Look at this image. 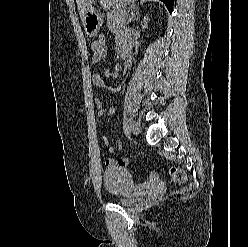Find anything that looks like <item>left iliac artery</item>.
I'll return each mask as SVG.
<instances>
[{"label":"left iliac artery","instance_id":"left-iliac-artery-1","mask_svg":"<svg viewBox=\"0 0 248 247\" xmlns=\"http://www.w3.org/2000/svg\"><path fill=\"white\" fill-rule=\"evenodd\" d=\"M124 132L125 134H129L130 132V119H126L124 122Z\"/></svg>","mask_w":248,"mask_h":247}]
</instances>
